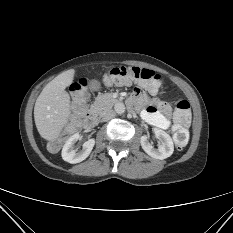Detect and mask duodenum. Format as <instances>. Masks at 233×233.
<instances>
[{
	"mask_svg": "<svg viewBox=\"0 0 233 233\" xmlns=\"http://www.w3.org/2000/svg\"><path fill=\"white\" fill-rule=\"evenodd\" d=\"M97 122V114L95 111L91 110L86 114L85 126L87 128L93 127Z\"/></svg>",
	"mask_w": 233,
	"mask_h": 233,
	"instance_id": "1",
	"label": "duodenum"
}]
</instances>
